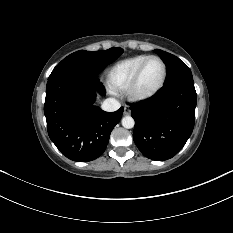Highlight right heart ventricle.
I'll use <instances>...</instances> for the list:
<instances>
[{
    "label": "right heart ventricle",
    "instance_id": "1",
    "mask_svg": "<svg viewBox=\"0 0 233 233\" xmlns=\"http://www.w3.org/2000/svg\"><path fill=\"white\" fill-rule=\"evenodd\" d=\"M148 55H137L117 62L107 74V83L113 91H125L139 65Z\"/></svg>",
    "mask_w": 233,
    "mask_h": 233
}]
</instances>
